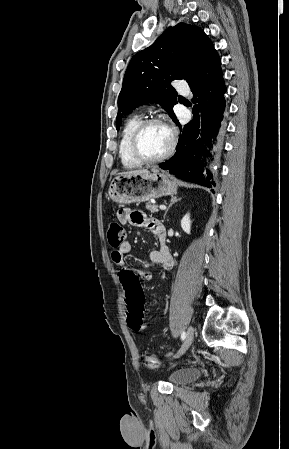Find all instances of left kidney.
Segmentation results:
<instances>
[{
    "label": "left kidney",
    "instance_id": "obj_1",
    "mask_svg": "<svg viewBox=\"0 0 289 449\" xmlns=\"http://www.w3.org/2000/svg\"><path fill=\"white\" fill-rule=\"evenodd\" d=\"M181 227L183 231L187 234H190L191 232V220H190V214H186L182 220H181Z\"/></svg>",
    "mask_w": 289,
    "mask_h": 449
}]
</instances>
